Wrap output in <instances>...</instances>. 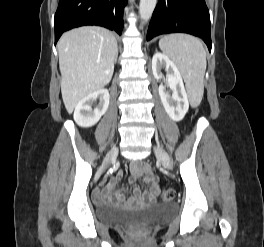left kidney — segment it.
I'll return each mask as SVG.
<instances>
[{
  "label": "left kidney",
  "instance_id": "left-kidney-1",
  "mask_svg": "<svg viewBox=\"0 0 264 247\" xmlns=\"http://www.w3.org/2000/svg\"><path fill=\"white\" fill-rule=\"evenodd\" d=\"M162 68L167 72L166 80L172 95L163 84H160L159 96L168 116L178 122L184 118L189 109L188 94L176 65L165 54L157 52L152 58V71L156 79L162 77Z\"/></svg>",
  "mask_w": 264,
  "mask_h": 247
}]
</instances>
